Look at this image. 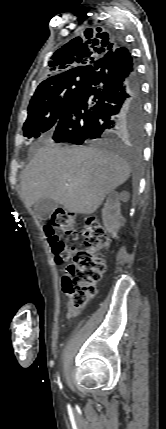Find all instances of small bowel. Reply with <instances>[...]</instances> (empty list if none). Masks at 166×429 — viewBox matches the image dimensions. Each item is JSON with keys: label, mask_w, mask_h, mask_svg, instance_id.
Segmentation results:
<instances>
[{"label": "small bowel", "mask_w": 166, "mask_h": 429, "mask_svg": "<svg viewBox=\"0 0 166 429\" xmlns=\"http://www.w3.org/2000/svg\"><path fill=\"white\" fill-rule=\"evenodd\" d=\"M78 314V309L72 307L71 305L67 308V317L72 318Z\"/></svg>", "instance_id": "small-bowel-1"}]
</instances>
